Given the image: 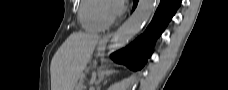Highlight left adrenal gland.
<instances>
[{
    "label": "left adrenal gland",
    "mask_w": 228,
    "mask_h": 90,
    "mask_svg": "<svg viewBox=\"0 0 228 90\" xmlns=\"http://www.w3.org/2000/svg\"><path fill=\"white\" fill-rule=\"evenodd\" d=\"M113 73H115L114 70H99L97 74L98 79H94L93 83L95 85H99L103 81L105 76H110Z\"/></svg>",
    "instance_id": "left-adrenal-gland-1"
}]
</instances>
